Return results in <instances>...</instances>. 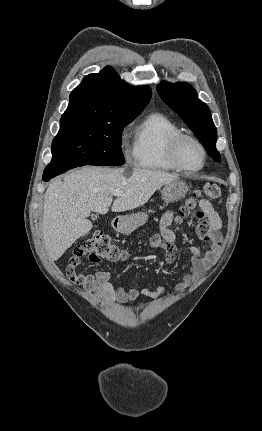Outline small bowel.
I'll use <instances>...</instances> for the list:
<instances>
[{"mask_svg":"<svg viewBox=\"0 0 262 431\" xmlns=\"http://www.w3.org/2000/svg\"><path fill=\"white\" fill-rule=\"evenodd\" d=\"M198 206L204 215V220L198 226L200 237L209 244V249L202 251L196 246H190L192 254L188 270L182 275L181 281L176 285L177 292H184L189 286L195 284L211 267L221 245L222 222L213 205L206 199H199ZM174 213L166 212L160 222L161 236L166 241V246L159 248L164 252L166 261L172 263L177 255L175 245V234L170 229ZM76 284L82 285L84 289L107 302L127 303L136 300L138 291L129 288H115L110 280L108 271H98L94 275H74L72 278ZM162 285L155 289L144 288L140 291L149 299L158 298L165 290Z\"/></svg>","mask_w":262,"mask_h":431,"instance_id":"small-bowel-1","label":"small bowel"}]
</instances>
